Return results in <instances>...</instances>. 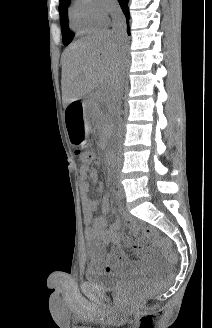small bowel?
I'll return each instance as SVG.
<instances>
[{
  "instance_id": "c3829d8e",
  "label": "small bowel",
  "mask_w": 212,
  "mask_h": 328,
  "mask_svg": "<svg viewBox=\"0 0 212 328\" xmlns=\"http://www.w3.org/2000/svg\"><path fill=\"white\" fill-rule=\"evenodd\" d=\"M80 194L83 207L84 223L86 225V235L91 242V260L98 266L102 267L104 271L114 274H123L134 271L138 267V263L131 261L122 251V238L120 229L127 227L132 231H136L137 223L135 220L129 218L125 214H121L117 221L107 226V221L104 216L95 217L94 213L99 207V202L89 197L90 183L97 182L99 173L97 170L92 169L91 173H80ZM101 207L104 213H108L110 209L108 199H103ZM128 247H132L137 255L146 259L149 254L150 245L142 241L132 243L130 239L125 240ZM110 246L111 249L106 251V247Z\"/></svg>"
}]
</instances>
